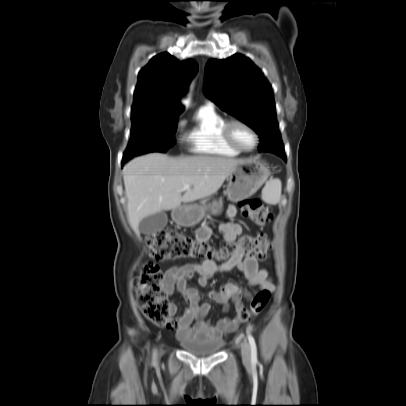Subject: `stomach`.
<instances>
[{"label":"stomach","mask_w":406,"mask_h":406,"mask_svg":"<svg viewBox=\"0 0 406 406\" xmlns=\"http://www.w3.org/2000/svg\"><path fill=\"white\" fill-rule=\"evenodd\" d=\"M270 171L266 164L256 158L243 160L228 176L226 195L229 200L239 202L252 196L268 179ZM212 214H218L216 203L210 206ZM205 209L198 204L184 205L172 211L173 220L182 226H194L205 216Z\"/></svg>","instance_id":"1"}]
</instances>
